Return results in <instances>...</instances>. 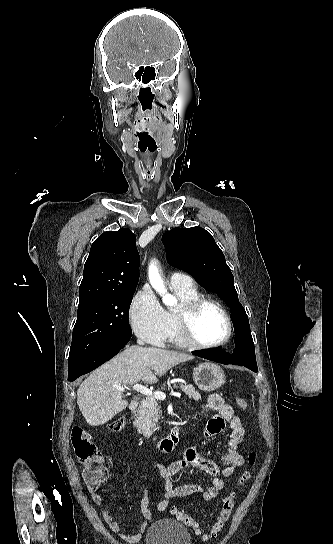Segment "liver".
Instances as JSON below:
<instances>
[{
  "instance_id": "liver-1",
  "label": "liver",
  "mask_w": 333,
  "mask_h": 544,
  "mask_svg": "<svg viewBox=\"0 0 333 544\" xmlns=\"http://www.w3.org/2000/svg\"><path fill=\"white\" fill-rule=\"evenodd\" d=\"M193 358L190 354L156 347H128L81 383L77 390L79 409L89 425H103L128 406L122 391L115 386L133 385L140 380L154 384L157 376Z\"/></svg>"
}]
</instances>
